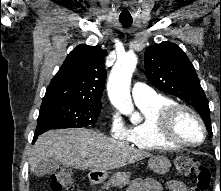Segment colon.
Listing matches in <instances>:
<instances>
[{
  "label": "colon",
  "mask_w": 221,
  "mask_h": 191,
  "mask_svg": "<svg viewBox=\"0 0 221 191\" xmlns=\"http://www.w3.org/2000/svg\"><path fill=\"white\" fill-rule=\"evenodd\" d=\"M176 167L183 176L197 173L195 184L189 191H205L210 182V172L201 168L198 159L194 157H179L176 160ZM74 185V176L69 169H60L51 175L50 186L52 191H71Z\"/></svg>",
  "instance_id": "1"
}]
</instances>
